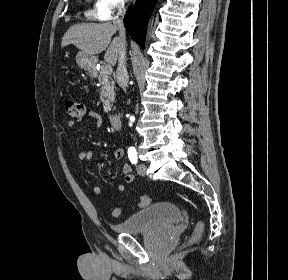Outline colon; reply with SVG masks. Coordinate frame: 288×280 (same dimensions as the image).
<instances>
[{"label": "colon", "mask_w": 288, "mask_h": 280, "mask_svg": "<svg viewBox=\"0 0 288 280\" xmlns=\"http://www.w3.org/2000/svg\"><path fill=\"white\" fill-rule=\"evenodd\" d=\"M66 110H67L68 114L70 115V117L72 119H74L75 121H80L83 118L84 113H85V108H84L83 104L76 102V101H68L66 103ZM149 204H150V198L147 195H143L140 198L139 206L145 207ZM112 216L114 218L120 217L121 216V209L120 208H114L112 210ZM202 230H203L202 223H198L195 227V235L200 236V234L202 233Z\"/></svg>", "instance_id": "colon-1"}]
</instances>
